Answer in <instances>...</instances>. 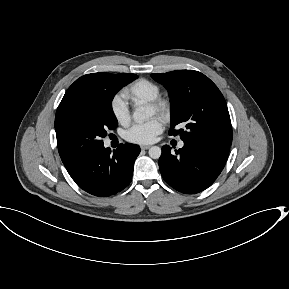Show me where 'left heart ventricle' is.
Here are the masks:
<instances>
[{
  "label": "left heart ventricle",
  "instance_id": "obj_1",
  "mask_svg": "<svg viewBox=\"0 0 289 289\" xmlns=\"http://www.w3.org/2000/svg\"><path fill=\"white\" fill-rule=\"evenodd\" d=\"M154 110L152 108L149 107V115H154Z\"/></svg>",
  "mask_w": 289,
  "mask_h": 289
}]
</instances>
